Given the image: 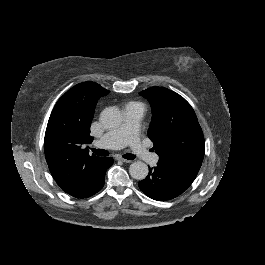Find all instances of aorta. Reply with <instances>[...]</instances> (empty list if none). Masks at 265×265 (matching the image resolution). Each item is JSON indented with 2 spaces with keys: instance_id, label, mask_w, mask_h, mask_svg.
I'll list each match as a JSON object with an SVG mask.
<instances>
[{
  "instance_id": "aorta-1",
  "label": "aorta",
  "mask_w": 265,
  "mask_h": 265,
  "mask_svg": "<svg viewBox=\"0 0 265 265\" xmlns=\"http://www.w3.org/2000/svg\"><path fill=\"white\" fill-rule=\"evenodd\" d=\"M123 114L119 108L106 107L100 115L101 123L108 129L118 128L123 122ZM131 177L143 180L148 175V166L142 161H135L129 167Z\"/></svg>"
}]
</instances>
